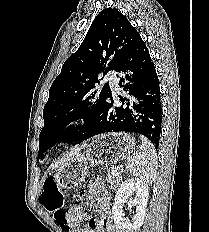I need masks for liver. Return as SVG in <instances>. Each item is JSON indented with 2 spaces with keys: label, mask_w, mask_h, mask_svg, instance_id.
Listing matches in <instances>:
<instances>
[{
  "label": "liver",
  "mask_w": 209,
  "mask_h": 232,
  "mask_svg": "<svg viewBox=\"0 0 209 232\" xmlns=\"http://www.w3.org/2000/svg\"><path fill=\"white\" fill-rule=\"evenodd\" d=\"M85 146H86V144H83L80 147H76L73 150H71L61 160L56 162L55 165H53V168L58 167L59 165H63L64 163H66L69 159H71L72 157L77 155Z\"/></svg>",
  "instance_id": "6515ba94"
}]
</instances>
